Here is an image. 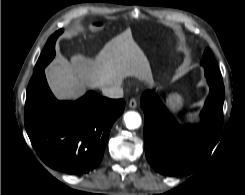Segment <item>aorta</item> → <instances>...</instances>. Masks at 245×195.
Instances as JSON below:
<instances>
[{
  "instance_id": "obj_1",
  "label": "aorta",
  "mask_w": 245,
  "mask_h": 195,
  "mask_svg": "<svg viewBox=\"0 0 245 195\" xmlns=\"http://www.w3.org/2000/svg\"><path fill=\"white\" fill-rule=\"evenodd\" d=\"M124 121L128 128L136 129L141 125V116L137 112L129 111L125 113Z\"/></svg>"
}]
</instances>
